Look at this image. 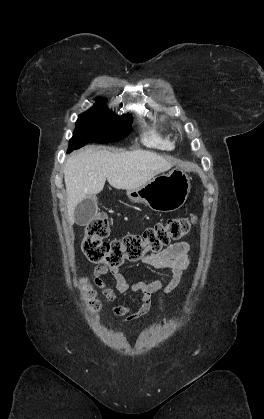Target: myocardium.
I'll return each instance as SVG.
<instances>
[{
  "mask_svg": "<svg viewBox=\"0 0 264 419\" xmlns=\"http://www.w3.org/2000/svg\"><path fill=\"white\" fill-rule=\"evenodd\" d=\"M176 127H177L178 129H180V128H181L180 124H176Z\"/></svg>",
  "mask_w": 264,
  "mask_h": 419,
  "instance_id": "f54148a6",
  "label": "myocardium"
}]
</instances>
